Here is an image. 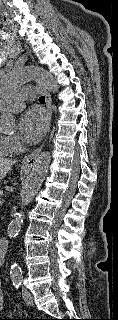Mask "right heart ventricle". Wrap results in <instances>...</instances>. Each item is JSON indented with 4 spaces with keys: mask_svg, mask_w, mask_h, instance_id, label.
Here are the masks:
<instances>
[{
    "mask_svg": "<svg viewBox=\"0 0 118 320\" xmlns=\"http://www.w3.org/2000/svg\"><path fill=\"white\" fill-rule=\"evenodd\" d=\"M12 153V148L9 144L8 137L0 134V156L9 155Z\"/></svg>",
    "mask_w": 118,
    "mask_h": 320,
    "instance_id": "e07e8e85",
    "label": "right heart ventricle"
}]
</instances>
